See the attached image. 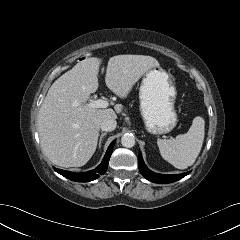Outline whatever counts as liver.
Wrapping results in <instances>:
<instances>
[{
  "mask_svg": "<svg viewBox=\"0 0 240 240\" xmlns=\"http://www.w3.org/2000/svg\"><path fill=\"white\" fill-rule=\"evenodd\" d=\"M102 59L86 58L60 76L49 88L40 107L37 125L42 151L55 165L80 167L94 154L100 124L116 119L121 105L113 109L89 108L86 102L99 87ZM158 61L145 55H117L108 60L105 82L118 97L125 98L135 83Z\"/></svg>",
  "mask_w": 240,
  "mask_h": 240,
  "instance_id": "1",
  "label": "liver"
}]
</instances>
